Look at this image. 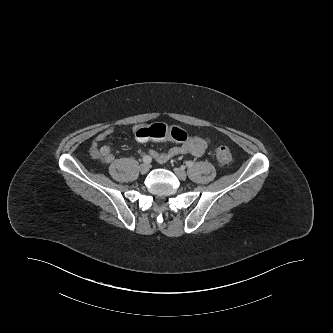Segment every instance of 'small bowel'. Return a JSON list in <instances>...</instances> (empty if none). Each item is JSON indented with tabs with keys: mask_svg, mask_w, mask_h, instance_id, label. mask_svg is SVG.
<instances>
[{
	"mask_svg": "<svg viewBox=\"0 0 333 333\" xmlns=\"http://www.w3.org/2000/svg\"><path fill=\"white\" fill-rule=\"evenodd\" d=\"M139 128L135 127L134 132ZM114 127L107 128L100 132L92 141L90 146V154L94 159L100 160L103 163H111L114 160V155L111 148L107 145H102L108 137L115 133ZM210 145V140L200 135L187 136V139L181 142L180 145L171 147L166 152H157L154 149H149L148 153L156 158L159 162H166L173 157L192 155L200 157Z\"/></svg>",
	"mask_w": 333,
	"mask_h": 333,
	"instance_id": "obj_1",
	"label": "small bowel"
}]
</instances>
